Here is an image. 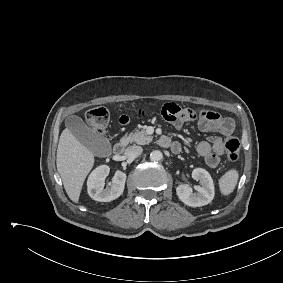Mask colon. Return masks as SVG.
<instances>
[{"label": "colon", "mask_w": 283, "mask_h": 283, "mask_svg": "<svg viewBox=\"0 0 283 283\" xmlns=\"http://www.w3.org/2000/svg\"><path fill=\"white\" fill-rule=\"evenodd\" d=\"M87 122L99 132H104L109 124V111L104 107L91 108L86 115ZM224 148L228 159L232 162L237 161L240 155L239 140L229 134L224 139Z\"/></svg>", "instance_id": "1"}]
</instances>
